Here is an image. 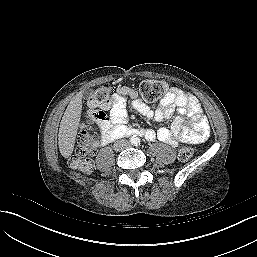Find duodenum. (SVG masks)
I'll return each mask as SVG.
<instances>
[{"mask_svg":"<svg viewBox=\"0 0 257 257\" xmlns=\"http://www.w3.org/2000/svg\"><path fill=\"white\" fill-rule=\"evenodd\" d=\"M143 134H144V131H142L140 129L117 127L110 132L109 140L110 141L115 140L122 136H133V135L141 136Z\"/></svg>","mask_w":257,"mask_h":257,"instance_id":"obj_1","label":"duodenum"}]
</instances>
